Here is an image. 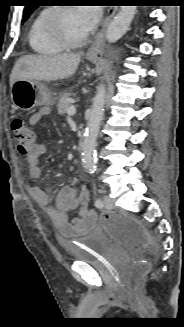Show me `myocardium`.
Here are the masks:
<instances>
[{"mask_svg":"<svg viewBox=\"0 0 184 327\" xmlns=\"http://www.w3.org/2000/svg\"><path fill=\"white\" fill-rule=\"evenodd\" d=\"M74 8L68 7V6H61V7H54L51 9L47 20H46V29L49 35L60 45H62L65 48H76L84 45L88 39L90 34L87 33L85 36H83L80 39L73 40L70 39L65 32L62 29L61 24V17L62 15L70 11Z\"/></svg>","mask_w":184,"mask_h":327,"instance_id":"obj_1","label":"myocardium"}]
</instances>
